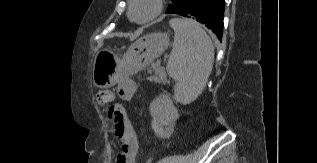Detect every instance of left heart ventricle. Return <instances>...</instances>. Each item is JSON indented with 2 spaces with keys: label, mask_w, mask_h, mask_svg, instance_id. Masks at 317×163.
<instances>
[{
  "label": "left heart ventricle",
  "mask_w": 317,
  "mask_h": 163,
  "mask_svg": "<svg viewBox=\"0 0 317 163\" xmlns=\"http://www.w3.org/2000/svg\"><path fill=\"white\" fill-rule=\"evenodd\" d=\"M154 10L153 0H135L132 16L137 20L148 17Z\"/></svg>",
  "instance_id": "left-heart-ventricle-1"
}]
</instances>
